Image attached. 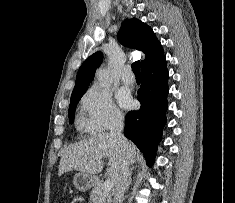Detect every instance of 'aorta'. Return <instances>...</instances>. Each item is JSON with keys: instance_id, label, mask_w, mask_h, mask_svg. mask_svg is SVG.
I'll return each instance as SVG.
<instances>
[{"instance_id": "aorta-1", "label": "aorta", "mask_w": 235, "mask_h": 203, "mask_svg": "<svg viewBox=\"0 0 235 203\" xmlns=\"http://www.w3.org/2000/svg\"><path fill=\"white\" fill-rule=\"evenodd\" d=\"M96 77L101 86L110 85L109 71L105 67H100L96 72Z\"/></svg>"}]
</instances>
